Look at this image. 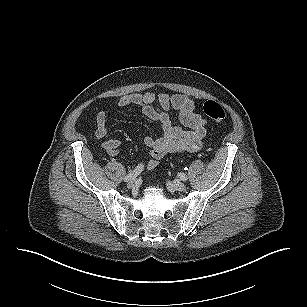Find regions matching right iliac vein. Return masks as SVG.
Masks as SVG:
<instances>
[{
    "mask_svg": "<svg viewBox=\"0 0 307 307\" xmlns=\"http://www.w3.org/2000/svg\"><path fill=\"white\" fill-rule=\"evenodd\" d=\"M127 187L130 188V189L136 188L137 182L135 180H133V181H131L127 184Z\"/></svg>",
    "mask_w": 307,
    "mask_h": 307,
    "instance_id": "right-iliac-vein-1",
    "label": "right iliac vein"
}]
</instances>
